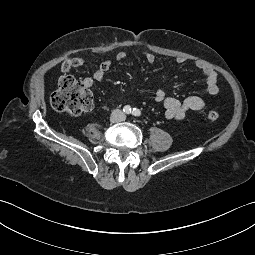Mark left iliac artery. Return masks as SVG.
I'll list each match as a JSON object with an SVG mask.
<instances>
[{"mask_svg": "<svg viewBox=\"0 0 255 255\" xmlns=\"http://www.w3.org/2000/svg\"><path fill=\"white\" fill-rule=\"evenodd\" d=\"M132 114L134 116H140L141 115V111L139 109H137V108H133Z\"/></svg>", "mask_w": 255, "mask_h": 255, "instance_id": "44dca946", "label": "left iliac artery"}]
</instances>
